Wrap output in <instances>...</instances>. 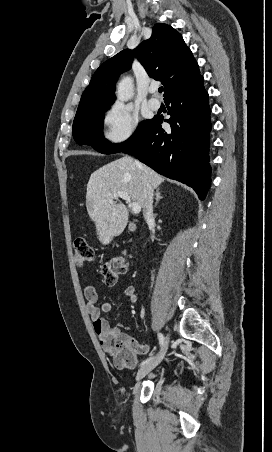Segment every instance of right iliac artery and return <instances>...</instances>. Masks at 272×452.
Here are the masks:
<instances>
[{"label": "right iliac artery", "mask_w": 272, "mask_h": 452, "mask_svg": "<svg viewBox=\"0 0 272 452\" xmlns=\"http://www.w3.org/2000/svg\"><path fill=\"white\" fill-rule=\"evenodd\" d=\"M158 339H159V343L162 346L164 344V336L161 333H158ZM151 359H153V357H150L148 359H146L145 361H143L141 363V365H144L145 363H148Z\"/></svg>", "instance_id": "obj_1"}]
</instances>
